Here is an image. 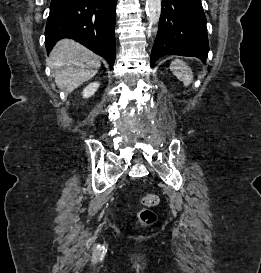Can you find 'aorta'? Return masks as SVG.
I'll use <instances>...</instances> for the list:
<instances>
[{
  "instance_id": "1",
  "label": "aorta",
  "mask_w": 261,
  "mask_h": 273,
  "mask_svg": "<svg viewBox=\"0 0 261 273\" xmlns=\"http://www.w3.org/2000/svg\"><path fill=\"white\" fill-rule=\"evenodd\" d=\"M146 13L150 26L157 24L161 14V0H146Z\"/></svg>"
}]
</instances>
